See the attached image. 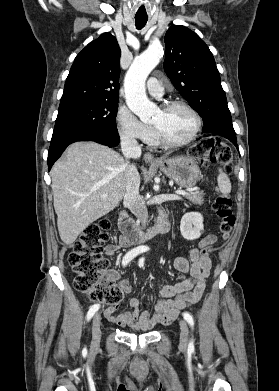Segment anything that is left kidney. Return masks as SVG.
<instances>
[{
    "instance_id": "left-kidney-1",
    "label": "left kidney",
    "mask_w": 279,
    "mask_h": 391,
    "mask_svg": "<svg viewBox=\"0 0 279 391\" xmlns=\"http://www.w3.org/2000/svg\"><path fill=\"white\" fill-rule=\"evenodd\" d=\"M203 229V216L200 213L190 212L182 217L180 231L186 240L198 239Z\"/></svg>"
}]
</instances>
